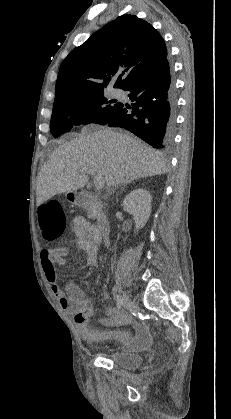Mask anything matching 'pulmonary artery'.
Wrapping results in <instances>:
<instances>
[{
	"mask_svg": "<svg viewBox=\"0 0 231 419\" xmlns=\"http://www.w3.org/2000/svg\"><path fill=\"white\" fill-rule=\"evenodd\" d=\"M114 95L116 97H121L123 95V92L119 89L114 90Z\"/></svg>",
	"mask_w": 231,
	"mask_h": 419,
	"instance_id": "obj_1",
	"label": "pulmonary artery"
}]
</instances>
